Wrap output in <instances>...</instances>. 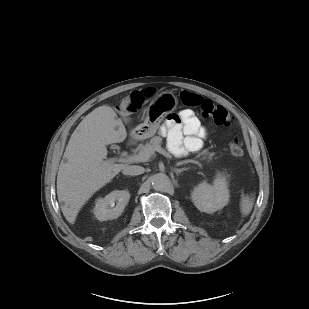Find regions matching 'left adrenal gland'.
Segmentation results:
<instances>
[{
	"instance_id": "obj_1",
	"label": "left adrenal gland",
	"mask_w": 309,
	"mask_h": 309,
	"mask_svg": "<svg viewBox=\"0 0 309 309\" xmlns=\"http://www.w3.org/2000/svg\"><path fill=\"white\" fill-rule=\"evenodd\" d=\"M189 168H181V169H178V168H174L173 171L179 175L181 172L183 171H187Z\"/></svg>"
}]
</instances>
